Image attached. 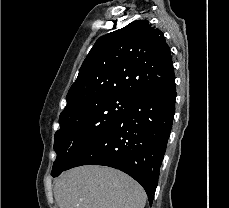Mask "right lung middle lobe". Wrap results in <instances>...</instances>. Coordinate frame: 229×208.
<instances>
[{
    "label": "right lung middle lobe",
    "mask_w": 229,
    "mask_h": 208,
    "mask_svg": "<svg viewBox=\"0 0 229 208\" xmlns=\"http://www.w3.org/2000/svg\"><path fill=\"white\" fill-rule=\"evenodd\" d=\"M134 102L128 96L108 95L80 104L59 117L52 176L60 175L88 142L117 121Z\"/></svg>",
    "instance_id": "dd1d6c3e"
}]
</instances>
